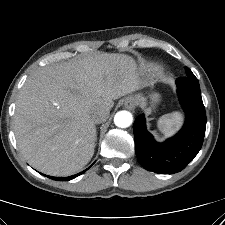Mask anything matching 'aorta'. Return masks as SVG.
Masks as SVG:
<instances>
[{"instance_id":"aorta-1","label":"aorta","mask_w":225,"mask_h":225,"mask_svg":"<svg viewBox=\"0 0 225 225\" xmlns=\"http://www.w3.org/2000/svg\"><path fill=\"white\" fill-rule=\"evenodd\" d=\"M133 116L129 111H119L114 116V123L119 128H127L132 124Z\"/></svg>"}]
</instances>
